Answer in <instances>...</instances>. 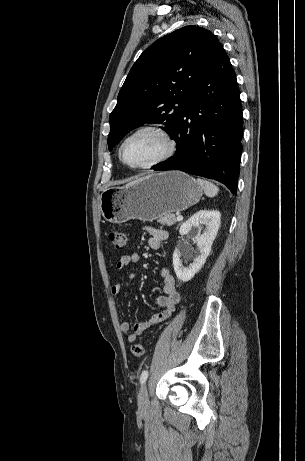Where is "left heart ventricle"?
<instances>
[{
	"label": "left heart ventricle",
	"mask_w": 305,
	"mask_h": 461,
	"mask_svg": "<svg viewBox=\"0 0 305 461\" xmlns=\"http://www.w3.org/2000/svg\"><path fill=\"white\" fill-rule=\"evenodd\" d=\"M166 149L161 136L152 132L138 134L124 146L123 154L127 163L143 165L159 157Z\"/></svg>",
	"instance_id": "obj_1"
}]
</instances>
